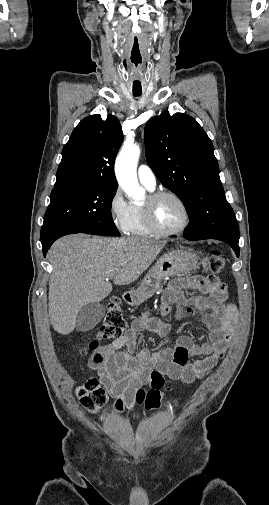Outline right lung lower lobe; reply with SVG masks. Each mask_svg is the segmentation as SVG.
I'll return each instance as SVG.
<instances>
[{"mask_svg":"<svg viewBox=\"0 0 269 505\" xmlns=\"http://www.w3.org/2000/svg\"><path fill=\"white\" fill-rule=\"evenodd\" d=\"M73 233H81L77 230H72V229H58L50 232L48 235L42 238V247H43V254L44 256L46 255L48 249L50 246L53 244L55 240L58 238L68 235V234H73Z\"/></svg>","mask_w":269,"mask_h":505,"instance_id":"98d812e1","label":"right lung lower lobe"}]
</instances>
